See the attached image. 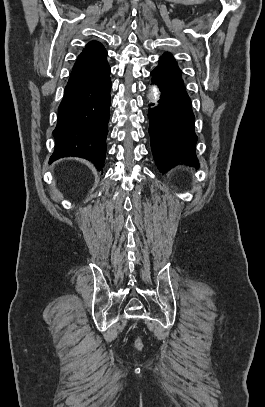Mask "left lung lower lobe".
Wrapping results in <instances>:
<instances>
[{"label":"left lung lower lobe","mask_w":265,"mask_h":407,"mask_svg":"<svg viewBox=\"0 0 265 407\" xmlns=\"http://www.w3.org/2000/svg\"><path fill=\"white\" fill-rule=\"evenodd\" d=\"M150 75L161 91L158 106L148 113L151 148L159 170L165 173L177 162L198 168L195 117L181 72L160 59Z\"/></svg>","instance_id":"1"}]
</instances>
